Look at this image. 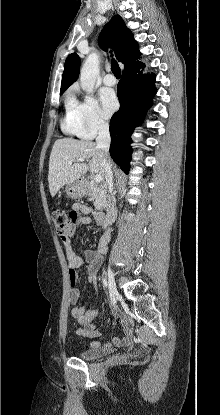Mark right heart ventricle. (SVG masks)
<instances>
[{
	"label": "right heart ventricle",
	"instance_id": "e07e8e85",
	"mask_svg": "<svg viewBox=\"0 0 220 415\" xmlns=\"http://www.w3.org/2000/svg\"><path fill=\"white\" fill-rule=\"evenodd\" d=\"M76 99L72 94H69L65 100V115L61 122L62 130L71 135L81 136L80 126L76 114Z\"/></svg>",
	"mask_w": 220,
	"mask_h": 415
}]
</instances>
